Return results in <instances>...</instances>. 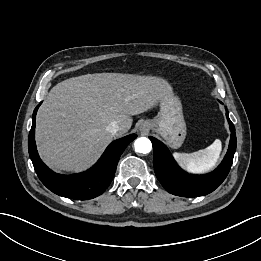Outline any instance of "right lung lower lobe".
<instances>
[{
    "label": "right lung lower lobe",
    "instance_id": "98d812e1",
    "mask_svg": "<svg viewBox=\"0 0 261 261\" xmlns=\"http://www.w3.org/2000/svg\"><path fill=\"white\" fill-rule=\"evenodd\" d=\"M40 104L33 112L32 127L28 137V151L41 182L53 193L75 200L92 199L101 195L114 177L121 154L137 136L131 134L113 141L98 162L84 173L69 176L56 174L41 161L36 149L35 119Z\"/></svg>",
    "mask_w": 261,
    "mask_h": 261
}]
</instances>
